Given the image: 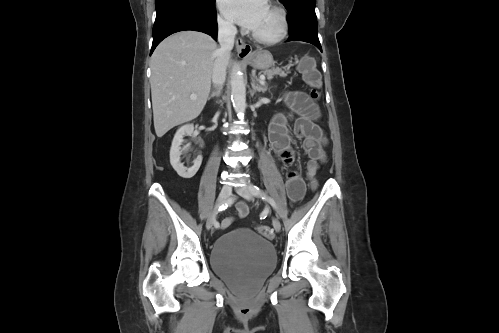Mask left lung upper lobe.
Returning a JSON list of instances; mask_svg holds the SVG:
<instances>
[{
    "instance_id": "5c2ea615",
    "label": "left lung upper lobe",
    "mask_w": 499,
    "mask_h": 333,
    "mask_svg": "<svg viewBox=\"0 0 499 333\" xmlns=\"http://www.w3.org/2000/svg\"><path fill=\"white\" fill-rule=\"evenodd\" d=\"M289 11L297 6L315 7L316 0H280Z\"/></svg>"
}]
</instances>
